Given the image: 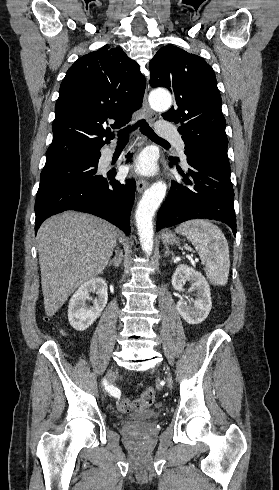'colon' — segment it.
<instances>
[{
    "label": "colon",
    "mask_w": 279,
    "mask_h": 490,
    "mask_svg": "<svg viewBox=\"0 0 279 490\" xmlns=\"http://www.w3.org/2000/svg\"><path fill=\"white\" fill-rule=\"evenodd\" d=\"M155 399V390L146 389L140 398L130 399L121 398L117 402V411L120 413H128L131 411H140L144 408L150 407Z\"/></svg>",
    "instance_id": "5ec220e1"
}]
</instances>
